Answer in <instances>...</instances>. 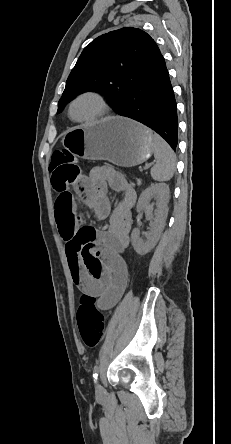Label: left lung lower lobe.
Here are the masks:
<instances>
[{"instance_id":"obj_1","label":"left lung lower lobe","mask_w":231,"mask_h":444,"mask_svg":"<svg viewBox=\"0 0 231 444\" xmlns=\"http://www.w3.org/2000/svg\"><path fill=\"white\" fill-rule=\"evenodd\" d=\"M119 115L153 129L176 149L178 118L173 88L164 58L159 52L143 69Z\"/></svg>"}]
</instances>
